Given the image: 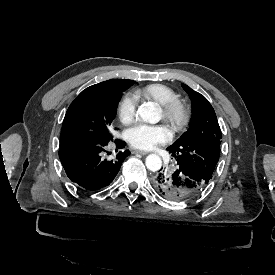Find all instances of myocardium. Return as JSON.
I'll use <instances>...</instances> for the list:
<instances>
[{
    "mask_svg": "<svg viewBox=\"0 0 275 275\" xmlns=\"http://www.w3.org/2000/svg\"><path fill=\"white\" fill-rule=\"evenodd\" d=\"M162 120L172 124V130L175 133L183 131L191 119L190 106L180 98H174L161 104Z\"/></svg>",
    "mask_w": 275,
    "mask_h": 275,
    "instance_id": "f54148a6",
    "label": "myocardium"
}]
</instances>
